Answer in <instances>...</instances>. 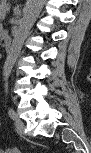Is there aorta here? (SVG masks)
Instances as JSON below:
<instances>
[{"label": "aorta", "mask_w": 91, "mask_h": 153, "mask_svg": "<svg viewBox=\"0 0 91 153\" xmlns=\"http://www.w3.org/2000/svg\"><path fill=\"white\" fill-rule=\"evenodd\" d=\"M43 5H44V0H28L26 3L22 21L19 25L17 33L14 36L10 51L5 61L3 69V77L5 82H7L10 76L12 68L20 54L23 43L32 25L39 16L43 8Z\"/></svg>", "instance_id": "aorta-1"}]
</instances>
